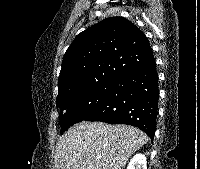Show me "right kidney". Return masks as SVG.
Returning a JSON list of instances; mask_svg holds the SVG:
<instances>
[{
  "label": "right kidney",
  "instance_id": "ca27d5eb",
  "mask_svg": "<svg viewBox=\"0 0 200 169\" xmlns=\"http://www.w3.org/2000/svg\"><path fill=\"white\" fill-rule=\"evenodd\" d=\"M127 169H147L146 157L143 154H136L130 160Z\"/></svg>",
  "mask_w": 200,
  "mask_h": 169
}]
</instances>
